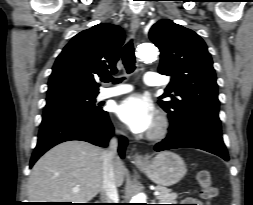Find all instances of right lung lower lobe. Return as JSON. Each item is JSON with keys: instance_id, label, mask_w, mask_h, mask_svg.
Returning a JSON list of instances; mask_svg holds the SVG:
<instances>
[{"instance_id": "98d812e1", "label": "right lung lower lobe", "mask_w": 253, "mask_h": 205, "mask_svg": "<svg viewBox=\"0 0 253 205\" xmlns=\"http://www.w3.org/2000/svg\"><path fill=\"white\" fill-rule=\"evenodd\" d=\"M114 128L108 113L95 116H83L71 113L43 115L37 146L32 154L30 167L53 146L70 140H82L94 145L106 147L113 136ZM127 140L119 142L118 152L124 157Z\"/></svg>"}]
</instances>
